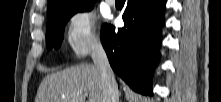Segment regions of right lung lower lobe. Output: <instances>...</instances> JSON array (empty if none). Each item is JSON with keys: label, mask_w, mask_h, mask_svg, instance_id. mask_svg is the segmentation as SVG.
<instances>
[{"label": "right lung lower lobe", "mask_w": 221, "mask_h": 102, "mask_svg": "<svg viewBox=\"0 0 221 102\" xmlns=\"http://www.w3.org/2000/svg\"><path fill=\"white\" fill-rule=\"evenodd\" d=\"M166 0H128L125 26L104 24L101 41L113 70L134 91L152 94V74L159 62Z\"/></svg>", "instance_id": "98d812e1"}]
</instances>
